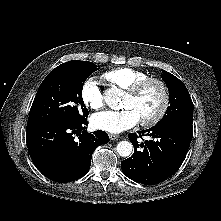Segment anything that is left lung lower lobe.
<instances>
[{"label": "left lung lower lobe", "mask_w": 221, "mask_h": 221, "mask_svg": "<svg viewBox=\"0 0 221 221\" xmlns=\"http://www.w3.org/2000/svg\"><path fill=\"white\" fill-rule=\"evenodd\" d=\"M138 133L154 139L139 143L135 133L129 134L134 153L121 162V169L131 180L149 185L167 179L180 167L193 137V127L175 123Z\"/></svg>", "instance_id": "1"}]
</instances>
